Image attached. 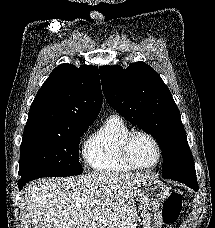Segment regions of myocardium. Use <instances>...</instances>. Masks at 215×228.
Segmentation results:
<instances>
[{
	"instance_id": "1",
	"label": "myocardium",
	"mask_w": 215,
	"mask_h": 228,
	"mask_svg": "<svg viewBox=\"0 0 215 228\" xmlns=\"http://www.w3.org/2000/svg\"><path fill=\"white\" fill-rule=\"evenodd\" d=\"M139 135H142V136L148 138L154 145L156 152H157L156 161L152 165L147 166V167H140V166L136 165L131 158V154H130L131 144H132L134 138ZM119 152H120L123 162L131 170L150 171V170L155 169L162 160V148H161L158 140L151 133H149L145 130H131L130 132H128L120 141Z\"/></svg>"
}]
</instances>
